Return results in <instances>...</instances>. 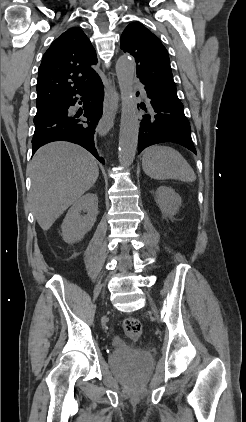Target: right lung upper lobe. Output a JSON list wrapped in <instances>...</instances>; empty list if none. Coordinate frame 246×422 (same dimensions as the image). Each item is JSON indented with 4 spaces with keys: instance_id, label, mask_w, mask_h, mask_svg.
Listing matches in <instances>:
<instances>
[{
    "instance_id": "1",
    "label": "right lung upper lobe",
    "mask_w": 246,
    "mask_h": 422,
    "mask_svg": "<svg viewBox=\"0 0 246 422\" xmlns=\"http://www.w3.org/2000/svg\"><path fill=\"white\" fill-rule=\"evenodd\" d=\"M96 62V52L81 29L62 33L47 49L39 67L37 110L84 90L98 76L91 68Z\"/></svg>"
}]
</instances>
